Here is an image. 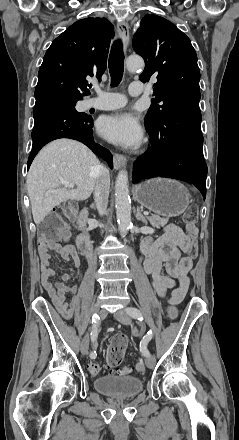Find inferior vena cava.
<instances>
[{
    "instance_id": "1",
    "label": "inferior vena cava",
    "mask_w": 239,
    "mask_h": 440,
    "mask_svg": "<svg viewBox=\"0 0 239 440\" xmlns=\"http://www.w3.org/2000/svg\"><path fill=\"white\" fill-rule=\"evenodd\" d=\"M110 188V174L107 168L99 166L97 178L94 186V200L97 206L98 214L103 216L107 210Z\"/></svg>"
}]
</instances>
